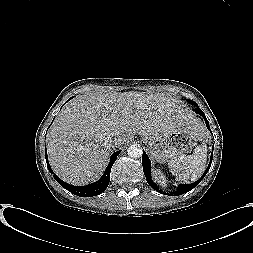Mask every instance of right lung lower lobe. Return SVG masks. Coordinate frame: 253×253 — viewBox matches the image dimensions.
I'll return each instance as SVG.
<instances>
[{
	"instance_id": "right-lung-lower-lobe-1",
	"label": "right lung lower lobe",
	"mask_w": 253,
	"mask_h": 253,
	"mask_svg": "<svg viewBox=\"0 0 253 253\" xmlns=\"http://www.w3.org/2000/svg\"><path fill=\"white\" fill-rule=\"evenodd\" d=\"M120 154V151L115 152L110 159V162L103 174V176L95 183L86 185V186H81V187H76L72 186L70 184H67L66 182L62 181L60 178H58L52 171L48 159H47V153H46V162L49 171L51 174H53V177L60 183L62 187L70 191L71 193L77 195V196H85V197H90V196H96L101 194L107 187L110 182V172L112 165L116 161V157Z\"/></svg>"
}]
</instances>
